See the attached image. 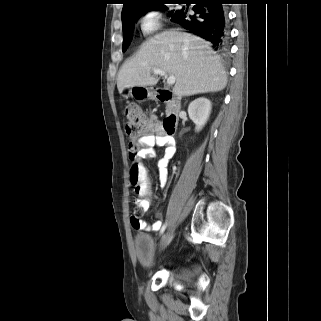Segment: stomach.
Listing matches in <instances>:
<instances>
[{"label":"stomach","instance_id":"obj_1","mask_svg":"<svg viewBox=\"0 0 321 321\" xmlns=\"http://www.w3.org/2000/svg\"><path fill=\"white\" fill-rule=\"evenodd\" d=\"M124 97L132 96L135 99L142 101L153 96L150 88L135 86L125 90Z\"/></svg>","mask_w":321,"mask_h":321}]
</instances>
